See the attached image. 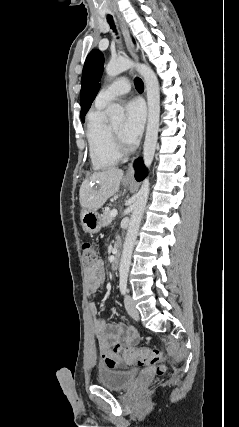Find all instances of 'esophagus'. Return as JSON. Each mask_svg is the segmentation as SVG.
I'll use <instances>...</instances> for the list:
<instances>
[{"mask_svg":"<svg viewBox=\"0 0 239 427\" xmlns=\"http://www.w3.org/2000/svg\"><path fill=\"white\" fill-rule=\"evenodd\" d=\"M118 20H119V24L121 27V31L127 46L128 51L130 52V54L132 55V57L138 62L139 61V56L137 54V49L135 47V45L133 44V41L131 39L130 36V32L129 29L124 21V19L117 14ZM134 178V168H133V163L129 166L126 175H125V179L127 180H131Z\"/></svg>","mask_w":239,"mask_h":427,"instance_id":"34e87169","label":"esophagus"}]
</instances>
